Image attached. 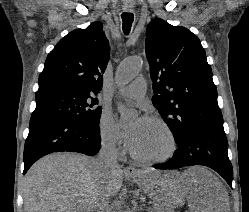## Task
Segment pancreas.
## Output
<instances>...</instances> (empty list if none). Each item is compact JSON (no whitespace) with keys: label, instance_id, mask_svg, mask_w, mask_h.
Masks as SVG:
<instances>
[{"label":"pancreas","instance_id":"cf45deb5","mask_svg":"<svg viewBox=\"0 0 249 212\" xmlns=\"http://www.w3.org/2000/svg\"><path fill=\"white\" fill-rule=\"evenodd\" d=\"M151 212H162V210H157V208H150Z\"/></svg>","mask_w":249,"mask_h":212}]
</instances>
